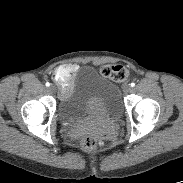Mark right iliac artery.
<instances>
[{
    "label": "right iliac artery",
    "instance_id": "right-iliac-artery-1",
    "mask_svg": "<svg viewBox=\"0 0 183 183\" xmlns=\"http://www.w3.org/2000/svg\"><path fill=\"white\" fill-rule=\"evenodd\" d=\"M46 86H47V87H49V86H50V83H49V82H47V83H46Z\"/></svg>",
    "mask_w": 183,
    "mask_h": 183
}]
</instances>
